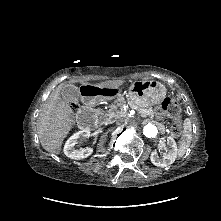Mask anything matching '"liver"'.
Masks as SVG:
<instances>
[{
  "mask_svg": "<svg viewBox=\"0 0 221 221\" xmlns=\"http://www.w3.org/2000/svg\"><path fill=\"white\" fill-rule=\"evenodd\" d=\"M124 80H109L92 84L95 87L119 88ZM66 85L56 88L43 104L37 118L36 127L42 147L51 153L59 154L64 138L74 125L73 110L61 97V91Z\"/></svg>",
  "mask_w": 221,
  "mask_h": 221,
  "instance_id": "liver-1",
  "label": "liver"
}]
</instances>
